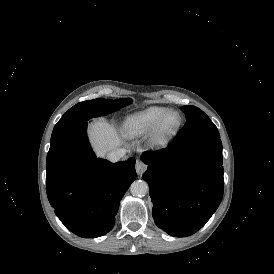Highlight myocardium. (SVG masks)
<instances>
[{
    "label": "myocardium",
    "mask_w": 274,
    "mask_h": 274,
    "mask_svg": "<svg viewBox=\"0 0 274 274\" xmlns=\"http://www.w3.org/2000/svg\"><path fill=\"white\" fill-rule=\"evenodd\" d=\"M173 114L180 115L179 125L171 131L165 130V124L168 118ZM185 124V117L179 110H168L158 124L148 133L146 144L150 150L159 151L168 146L172 139L179 134Z\"/></svg>",
    "instance_id": "obj_1"
}]
</instances>
